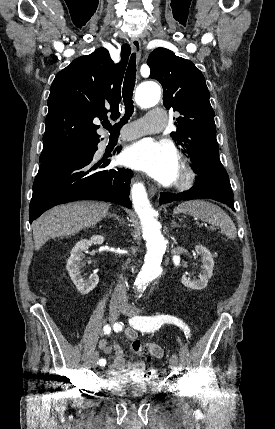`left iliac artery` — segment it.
Wrapping results in <instances>:
<instances>
[{"mask_svg": "<svg viewBox=\"0 0 275 429\" xmlns=\"http://www.w3.org/2000/svg\"><path fill=\"white\" fill-rule=\"evenodd\" d=\"M164 323L177 325L184 331L186 338H190L191 334L188 325L181 319L171 315L136 316L131 319V325L135 329L145 332L155 331Z\"/></svg>", "mask_w": 275, "mask_h": 429, "instance_id": "1", "label": "left iliac artery"}]
</instances>
